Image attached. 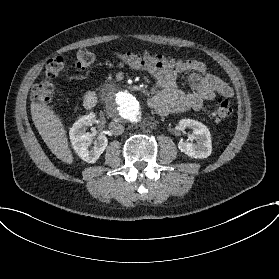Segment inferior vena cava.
Segmentation results:
<instances>
[{"label": "inferior vena cava", "instance_id": "inferior-vena-cava-1", "mask_svg": "<svg viewBox=\"0 0 279 279\" xmlns=\"http://www.w3.org/2000/svg\"><path fill=\"white\" fill-rule=\"evenodd\" d=\"M108 127L113 135H121L124 132V126L118 122H110Z\"/></svg>", "mask_w": 279, "mask_h": 279}]
</instances>
